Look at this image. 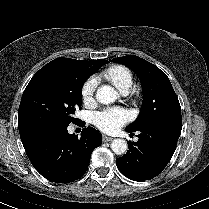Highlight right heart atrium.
Returning <instances> with one entry per match:
<instances>
[{
  "label": "right heart atrium",
  "mask_w": 209,
  "mask_h": 209,
  "mask_svg": "<svg viewBox=\"0 0 209 209\" xmlns=\"http://www.w3.org/2000/svg\"><path fill=\"white\" fill-rule=\"evenodd\" d=\"M96 87L97 79L95 77H90L83 83L81 88V96L85 103L92 99Z\"/></svg>",
  "instance_id": "right-heart-atrium-1"
}]
</instances>
